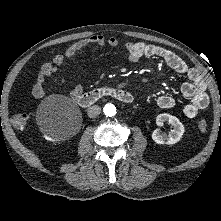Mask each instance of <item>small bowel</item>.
<instances>
[{
	"label": "small bowel",
	"mask_w": 221,
	"mask_h": 221,
	"mask_svg": "<svg viewBox=\"0 0 221 221\" xmlns=\"http://www.w3.org/2000/svg\"><path fill=\"white\" fill-rule=\"evenodd\" d=\"M105 45L118 47L120 41L113 36L105 37L103 35H94L71 44L64 52L55 55L52 60L42 65L32 87L33 96L36 98H43L47 95V90L44 87L46 78L51 77L55 83L63 84L65 82L64 79H60L56 76V72L58 67L66 60L74 58L84 49ZM123 47L131 62H138L143 58L158 57L175 72L186 75L188 81L183 83L181 91L188 99V102L184 106V113L187 117L195 118L201 110L209 105L206 84L200 73L195 68L188 66L177 54L164 47L143 42H125ZM82 91V85H77L70 92V96L73 99H77V97L82 94ZM156 103L160 108L169 109L175 105V100L169 95H161L157 98Z\"/></svg>",
	"instance_id": "c3829d8e"
}]
</instances>
